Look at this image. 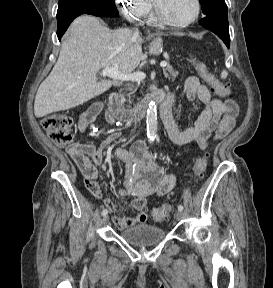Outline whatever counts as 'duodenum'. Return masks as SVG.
<instances>
[{
	"label": "duodenum",
	"mask_w": 273,
	"mask_h": 288,
	"mask_svg": "<svg viewBox=\"0 0 273 288\" xmlns=\"http://www.w3.org/2000/svg\"><path fill=\"white\" fill-rule=\"evenodd\" d=\"M161 105V119L165 123L171 119V106L173 99L163 91L153 92L147 99L140 102L136 107L125 110L121 104L120 98L116 93H111L108 98L107 117L113 121L123 123H133L142 119L151 105Z\"/></svg>",
	"instance_id": "1"
}]
</instances>
